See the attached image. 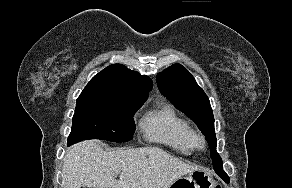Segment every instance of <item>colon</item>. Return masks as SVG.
Returning a JSON list of instances; mask_svg holds the SVG:
<instances>
[{
    "instance_id": "obj_1",
    "label": "colon",
    "mask_w": 292,
    "mask_h": 188,
    "mask_svg": "<svg viewBox=\"0 0 292 188\" xmlns=\"http://www.w3.org/2000/svg\"><path fill=\"white\" fill-rule=\"evenodd\" d=\"M216 188H222L220 185H218Z\"/></svg>"
}]
</instances>
